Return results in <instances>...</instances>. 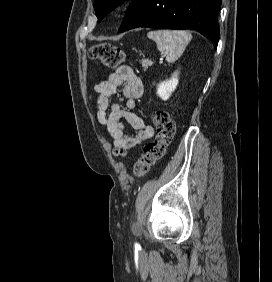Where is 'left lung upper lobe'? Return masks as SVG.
<instances>
[{
  "label": "left lung upper lobe",
  "instance_id": "5c2ea615",
  "mask_svg": "<svg viewBox=\"0 0 272 282\" xmlns=\"http://www.w3.org/2000/svg\"><path fill=\"white\" fill-rule=\"evenodd\" d=\"M124 1L128 0H95L93 6L95 8L98 21H101L108 13Z\"/></svg>",
  "mask_w": 272,
  "mask_h": 282
}]
</instances>
